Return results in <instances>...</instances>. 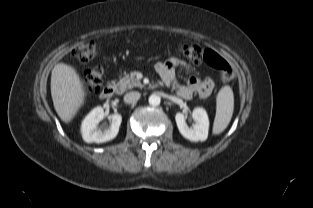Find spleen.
Masks as SVG:
<instances>
[{"label":"spleen","instance_id":"3e777b00","mask_svg":"<svg viewBox=\"0 0 313 208\" xmlns=\"http://www.w3.org/2000/svg\"><path fill=\"white\" fill-rule=\"evenodd\" d=\"M234 110V96L229 86L221 88L216 99V115L213 123V134L222 133L231 121Z\"/></svg>","mask_w":313,"mask_h":208}]
</instances>
